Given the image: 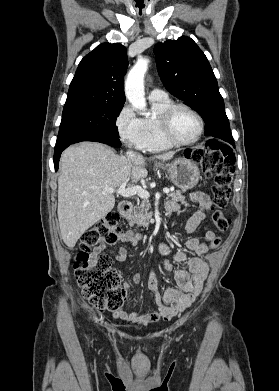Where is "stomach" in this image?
Listing matches in <instances>:
<instances>
[{"label":"stomach","instance_id":"obj_1","mask_svg":"<svg viewBox=\"0 0 279 391\" xmlns=\"http://www.w3.org/2000/svg\"><path fill=\"white\" fill-rule=\"evenodd\" d=\"M156 166L167 170L170 180L181 190L192 189L199 181V168L189 159L179 158L171 163H157Z\"/></svg>","mask_w":279,"mask_h":391}]
</instances>
